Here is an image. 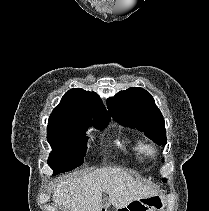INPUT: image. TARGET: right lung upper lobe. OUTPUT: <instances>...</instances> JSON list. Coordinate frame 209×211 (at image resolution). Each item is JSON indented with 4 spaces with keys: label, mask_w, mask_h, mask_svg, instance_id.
<instances>
[{
    "label": "right lung upper lobe",
    "mask_w": 209,
    "mask_h": 211,
    "mask_svg": "<svg viewBox=\"0 0 209 211\" xmlns=\"http://www.w3.org/2000/svg\"><path fill=\"white\" fill-rule=\"evenodd\" d=\"M110 118L100 97L80 88L70 89L51 113L49 126H70L90 122L91 118Z\"/></svg>",
    "instance_id": "1"
}]
</instances>
